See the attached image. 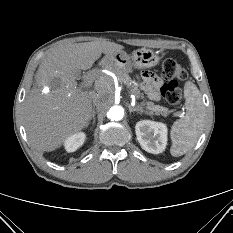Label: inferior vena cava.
Segmentation results:
<instances>
[{"label": "inferior vena cava", "mask_w": 233, "mask_h": 233, "mask_svg": "<svg viewBox=\"0 0 233 233\" xmlns=\"http://www.w3.org/2000/svg\"><path fill=\"white\" fill-rule=\"evenodd\" d=\"M101 87H102V84L101 82H97L96 83V89L98 90V94H102V90H101ZM96 92H91V96H92V100L93 101H96V98H97V95H98Z\"/></svg>", "instance_id": "obj_1"}]
</instances>
